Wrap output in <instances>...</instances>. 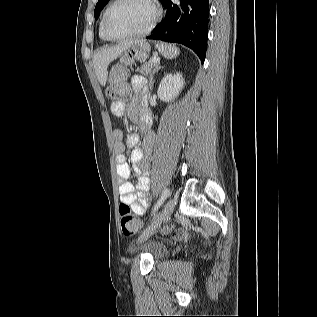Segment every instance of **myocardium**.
<instances>
[{"mask_svg":"<svg viewBox=\"0 0 317 317\" xmlns=\"http://www.w3.org/2000/svg\"><path fill=\"white\" fill-rule=\"evenodd\" d=\"M122 1L123 0H114L108 6V8L103 16L102 28H103V34L106 37V39L111 40V41H122V40H128V39L142 37V36H145L146 34L150 33L154 29L156 24L158 23V21L160 19V14H161L160 9H159L158 5L156 4L155 0H144L151 7L153 14H152V18H151L150 22L143 30L138 31V32L133 33V34L124 35V36H114L109 32L108 27H107L109 16L112 13L113 9Z\"/></svg>","mask_w":317,"mask_h":317,"instance_id":"myocardium-1","label":"myocardium"}]
</instances>
